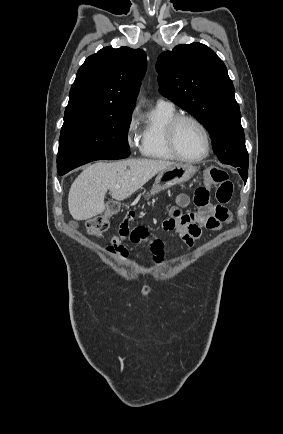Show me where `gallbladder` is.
<instances>
[{
  "instance_id": "1",
  "label": "gallbladder",
  "mask_w": 283,
  "mask_h": 434,
  "mask_svg": "<svg viewBox=\"0 0 283 434\" xmlns=\"http://www.w3.org/2000/svg\"><path fill=\"white\" fill-rule=\"evenodd\" d=\"M73 226H77V223H72Z\"/></svg>"
}]
</instances>
